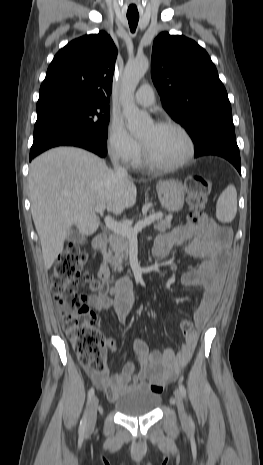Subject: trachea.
Here are the masks:
<instances>
[{
  "instance_id": "1",
  "label": "trachea",
  "mask_w": 263,
  "mask_h": 465,
  "mask_svg": "<svg viewBox=\"0 0 263 465\" xmlns=\"http://www.w3.org/2000/svg\"><path fill=\"white\" fill-rule=\"evenodd\" d=\"M129 26L132 32L135 31L138 21H139V16H127Z\"/></svg>"
}]
</instances>
